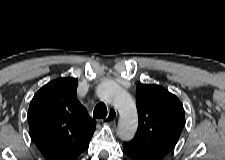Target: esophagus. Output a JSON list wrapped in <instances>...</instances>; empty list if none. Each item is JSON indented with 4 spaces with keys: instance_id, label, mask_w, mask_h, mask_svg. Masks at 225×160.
I'll return each instance as SVG.
<instances>
[{
    "instance_id": "1",
    "label": "esophagus",
    "mask_w": 225,
    "mask_h": 160,
    "mask_svg": "<svg viewBox=\"0 0 225 160\" xmlns=\"http://www.w3.org/2000/svg\"><path fill=\"white\" fill-rule=\"evenodd\" d=\"M117 117H118L117 110L116 109H111L109 111L108 116L106 117L107 123L114 124Z\"/></svg>"
}]
</instances>
